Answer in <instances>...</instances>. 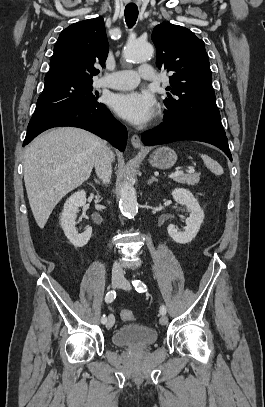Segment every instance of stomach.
Listing matches in <instances>:
<instances>
[{"label": "stomach", "instance_id": "obj_1", "mask_svg": "<svg viewBox=\"0 0 265 407\" xmlns=\"http://www.w3.org/2000/svg\"><path fill=\"white\" fill-rule=\"evenodd\" d=\"M149 161L153 167L168 169L176 163L177 155L171 148L163 146L150 155Z\"/></svg>", "mask_w": 265, "mask_h": 407}]
</instances>
